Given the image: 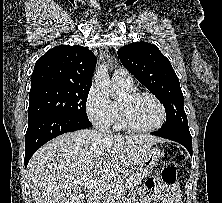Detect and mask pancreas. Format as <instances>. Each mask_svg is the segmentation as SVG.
Returning <instances> with one entry per match:
<instances>
[{
  "label": "pancreas",
  "instance_id": "pancreas-1",
  "mask_svg": "<svg viewBox=\"0 0 222 203\" xmlns=\"http://www.w3.org/2000/svg\"><path fill=\"white\" fill-rule=\"evenodd\" d=\"M119 185L118 189L114 190H105L103 195L100 197V203H116L114 202V193L120 192L124 186L134 185L136 184V180L133 174L127 173L126 175L119 177L117 180L111 182Z\"/></svg>",
  "mask_w": 222,
  "mask_h": 203
}]
</instances>
